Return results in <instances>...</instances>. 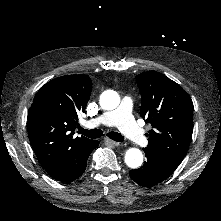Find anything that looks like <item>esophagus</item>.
Segmentation results:
<instances>
[{
    "label": "esophagus",
    "instance_id": "obj_1",
    "mask_svg": "<svg viewBox=\"0 0 221 221\" xmlns=\"http://www.w3.org/2000/svg\"><path fill=\"white\" fill-rule=\"evenodd\" d=\"M105 142L108 143V144L114 145V146H120L121 145V143L113 141V140L108 139V138H105Z\"/></svg>",
    "mask_w": 221,
    "mask_h": 221
}]
</instances>
